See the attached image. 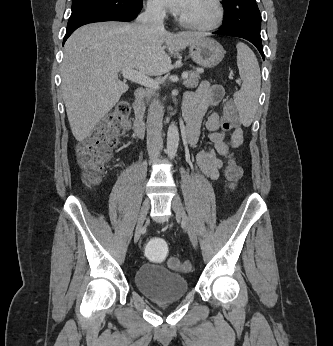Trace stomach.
Returning a JSON list of instances; mask_svg holds the SVG:
<instances>
[{"label":"stomach","mask_w":333,"mask_h":346,"mask_svg":"<svg viewBox=\"0 0 333 346\" xmlns=\"http://www.w3.org/2000/svg\"><path fill=\"white\" fill-rule=\"evenodd\" d=\"M189 53L195 63L211 68L222 61L225 51L214 39L203 37L189 45Z\"/></svg>","instance_id":"obj_1"}]
</instances>
